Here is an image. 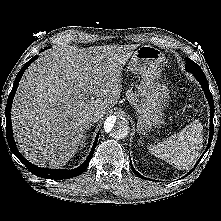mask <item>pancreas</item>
<instances>
[{
	"mask_svg": "<svg viewBox=\"0 0 221 221\" xmlns=\"http://www.w3.org/2000/svg\"><path fill=\"white\" fill-rule=\"evenodd\" d=\"M126 98L129 101L130 104L134 105L135 107H138V99H137V95L134 94L133 92H131L130 90L126 91Z\"/></svg>",
	"mask_w": 221,
	"mask_h": 221,
	"instance_id": "cf45deb5",
	"label": "pancreas"
}]
</instances>
